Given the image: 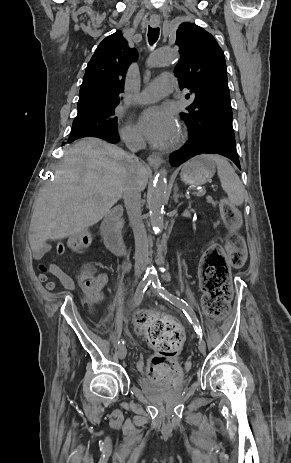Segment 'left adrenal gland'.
<instances>
[{"mask_svg":"<svg viewBox=\"0 0 291 463\" xmlns=\"http://www.w3.org/2000/svg\"><path fill=\"white\" fill-rule=\"evenodd\" d=\"M180 197H182V195H181V194H178L177 189H175L174 195H173L174 202L177 203V202H178V198H180Z\"/></svg>","mask_w":291,"mask_h":463,"instance_id":"a2214340","label":"left adrenal gland"}]
</instances>
